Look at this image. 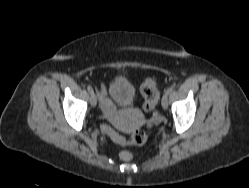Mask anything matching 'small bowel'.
<instances>
[{"label":"small bowel","mask_w":249,"mask_h":188,"mask_svg":"<svg viewBox=\"0 0 249 188\" xmlns=\"http://www.w3.org/2000/svg\"><path fill=\"white\" fill-rule=\"evenodd\" d=\"M98 94L100 97V106L103 112V116L107 119L112 120L115 115V107L113 103L106 97L107 89L104 85H101Z\"/></svg>","instance_id":"small-bowel-1"}]
</instances>
